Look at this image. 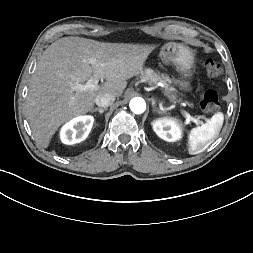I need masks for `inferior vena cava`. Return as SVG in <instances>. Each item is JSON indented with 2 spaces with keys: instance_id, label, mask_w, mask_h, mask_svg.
<instances>
[{
  "instance_id": "inferior-vena-cava-1",
  "label": "inferior vena cava",
  "mask_w": 253,
  "mask_h": 253,
  "mask_svg": "<svg viewBox=\"0 0 253 253\" xmlns=\"http://www.w3.org/2000/svg\"><path fill=\"white\" fill-rule=\"evenodd\" d=\"M114 101H115V96L110 93H104V94L98 95L95 99V103L99 107H108Z\"/></svg>"
}]
</instances>
